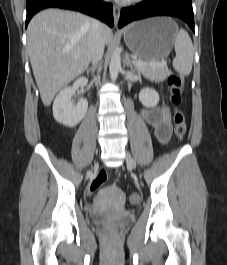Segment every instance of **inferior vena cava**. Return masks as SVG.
Masks as SVG:
<instances>
[{"label": "inferior vena cava", "mask_w": 227, "mask_h": 265, "mask_svg": "<svg viewBox=\"0 0 227 265\" xmlns=\"http://www.w3.org/2000/svg\"><path fill=\"white\" fill-rule=\"evenodd\" d=\"M90 43H91V61L93 66H96L102 59L104 53V45H105L101 33V22L98 21L97 19H92Z\"/></svg>", "instance_id": "obj_1"}]
</instances>
